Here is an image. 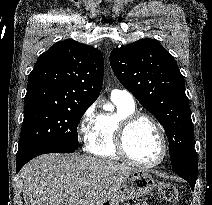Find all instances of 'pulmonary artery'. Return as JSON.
<instances>
[{
    "label": "pulmonary artery",
    "instance_id": "1",
    "mask_svg": "<svg viewBox=\"0 0 212 205\" xmlns=\"http://www.w3.org/2000/svg\"><path fill=\"white\" fill-rule=\"evenodd\" d=\"M111 98L116 100H121L126 103L134 104V98L132 94L124 89H113L111 91Z\"/></svg>",
    "mask_w": 212,
    "mask_h": 205
}]
</instances>
